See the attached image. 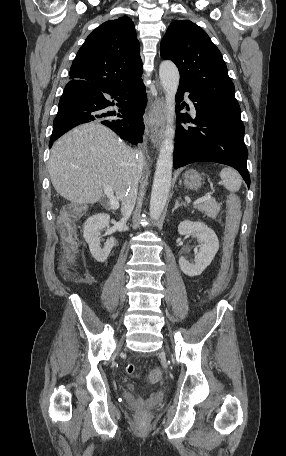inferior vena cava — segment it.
I'll return each instance as SVG.
<instances>
[{
  "mask_svg": "<svg viewBox=\"0 0 286 456\" xmlns=\"http://www.w3.org/2000/svg\"><path fill=\"white\" fill-rule=\"evenodd\" d=\"M143 161L142 155L136 159V175L132 180L129 189L127 190L126 194L122 199V206H121V213L123 216V220H127L134 209L136 198H137V191H138V179L139 174L141 171V163Z\"/></svg>",
  "mask_w": 286,
  "mask_h": 456,
  "instance_id": "obj_1",
  "label": "inferior vena cava"
}]
</instances>
